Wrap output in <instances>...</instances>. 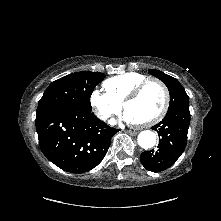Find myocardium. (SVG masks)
Returning a JSON list of instances; mask_svg holds the SVG:
<instances>
[{
  "mask_svg": "<svg viewBox=\"0 0 221 221\" xmlns=\"http://www.w3.org/2000/svg\"><path fill=\"white\" fill-rule=\"evenodd\" d=\"M156 84L159 86V88L161 89L162 93H163V97H164V101H163V105L162 108L160 109V111L153 116L152 118L143 121V122H139L136 123V125L140 128H147V127H151L157 123H159L167 114L168 109H169V105H170V94L168 91V88L166 87V85L161 82L158 79L155 78H147L146 80L142 81L141 83H139L127 96L126 98L123 100L122 102V106L123 108L126 110V105L130 102L135 100L136 98L139 97V95L142 93V91L145 89V87L149 84Z\"/></svg>",
  "mask_w": 221,
  "mask_h": 221,
  "instance_id": "f54148a6",
  "label": "myocardium"
}]
</instances>
